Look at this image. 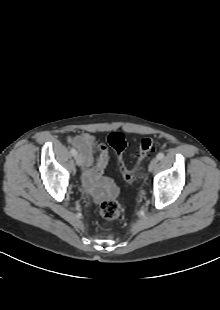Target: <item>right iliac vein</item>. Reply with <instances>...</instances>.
Returning a JSON list of instances; mask_svg holds the SVG:
<instances>
[{
	"label": "right iliac vein",
	"instance_id": "obj_1",
	"mask_svg": "<svg viewBox=\"0 0 220 310\" xmlns=\"http://www.w3.org/2000/svg\"><path fill=\"white\" fill-rule=\"evenodd\" d=\"M75 161H76V164H77L78 166H82V165H83V162H84L82 155H81V154H77V155L75 156Z\"/></svg>",
	"mask_w": 220,
	"mask_h": 310
}]
</instances>
